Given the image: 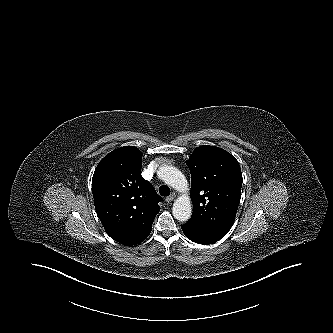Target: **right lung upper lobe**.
I'll use <instances>...</instances> for the list:
<instances>
[{
	"instance_id": "obj_1",
	"label": "right lung upper lobe",
	"mask_w": 333,
	"mask_h": 333,
	"mask_svg": "<svg viewBox=\"0 0 333 333\" xmlns=\"http://www.w3.org/2000/svg\"><path fill=\"white\" fill-rule=\"evenodd\" d=\"M141 160L136 147L118 148L101 160L92 178L95 209L105 231L127 246L147 238L162 200L141 176Z\"/></svg>"
}]
</instances>
